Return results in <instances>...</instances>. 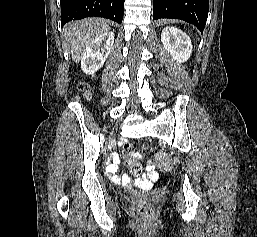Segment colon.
I'll return each instance as SVG.
<instances>
[{
    "mask_svg": "<svg viewBox=\"0 0 257 237\" xmlns=\"http://www.w3.org/2000/svg\"><path fill=\"white\" fill-rule=\"evenodd\" d=\"M129 146L125 147V152L128 153ZM155 161L159 169L166 170L170 167V158L166 153H157L155 155ZM129 168L130 171L135 174L139 175L142 171V167L139 163L129 161ZM137 212L144 220H150L153 218V209L151 204L147 200H141L137 205Z\"/></svg>",
    "mask_w": 257,
    "mask_h": 237,
    "instance_id": "5ec220e1",
    "label": "colon"
}]
</instances>
